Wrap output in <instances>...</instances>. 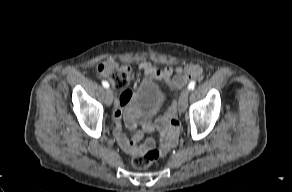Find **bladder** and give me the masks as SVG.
Masks as SVG:
<instances>
[{"mask_svg":"<svg viewBox=\"0 0 292 192\" xmlns=\"http://www.w3.org/2000/svg\"><path fill=\"white\" fill-rule=\"evenodd\" d=\"M166 101V94L154 81L143 82L132 97L131 110L135 117L147 118L159 112Z\"/></svg>","mask_w":292,"mask_h":192,"instance_id":"1","label":"bladder"}]
</instances>
